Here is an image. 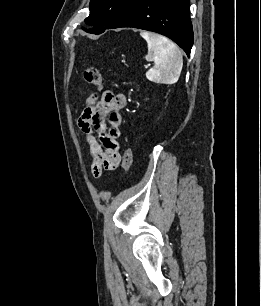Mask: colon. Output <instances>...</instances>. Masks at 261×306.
<instances>
[{
    "mask_svg": "<svg viewBox=\"0 0 261 306\" xmlns=\"http://www.w3.org/2000/svg\"><path fill=\"white\" fill-rule=\"evenodd\" d=\"M82 76L85 82L91 84L97 88H101L103 85V80L100 72L95 68H85L82 72ZM133 153L131 149L126 148L123 154L122 167L125 172H128L132 166Z\"/></svg>",
    "mask_w": 261,
    "mask_h": 306,
    "instance_id": "obj_1",
    "label": "colon"
}]
</instances>
